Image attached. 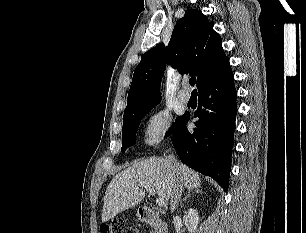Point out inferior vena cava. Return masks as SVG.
Listing matches in <instances>:
<instances>
[{
    "mask_svg": "<svg viewBox=\"0 0 306 233\" xmlns=\"http://www.w3.org/2000/svg\"><path fill=\"white\" fill-rule=\"evenodd\" d=\"M169 160L174 165L178 166L173 155L169 156ZM182 192H183V183L181 181H178L176 186H175L173 195H172V197L170 199V209H171V212H173L176 209V207L178 206V203H179V201L181 199V196H182Z\"/></svg>",
    "mask_w": 306,
    "mask_h": 233,
    "instance_id": "602c4592",
    "label": "inferior vena cava"
}]
</instances>
